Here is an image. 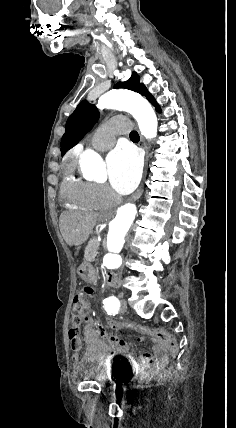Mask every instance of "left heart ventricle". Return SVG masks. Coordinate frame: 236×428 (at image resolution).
Segmentation results:
<instances>
[{"label": "left heart ventricle", "mask_w": 236, "mask_h": 428, "mask_svg": "<svg viewBox=\"0 0 236 428\" xmlns=\"http://www.w3.org/2000/svg\"><path fill=\"white\" fill-rule=\"evenodd\" d=\"M96 181L100 182V181H102V178L99 177L96 179Z\"/></svg>", "instance_id": "obj_1"}]
</instances>
